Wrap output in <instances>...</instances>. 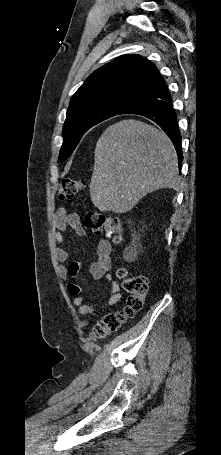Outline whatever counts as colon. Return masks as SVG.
<instances>
[{"label": "colon", "mask_w": 221, "mask_h": 455, "mask_svg": "<svg viewBox=\"0 0 221 455\" xmlns=\"http://www.w3.org/2000/svg\"><path fill=\"white\" fill-rule=\"evenodd\" d=\"M85 187V182L79 178H68L62 181L59 190L61 201L74 199ZM86 225L95 234H106L114 242L123 239V227L119 218L98 212H90L85 218ZM117 276L122 282L127 294L126 306L123 310L105 315L94 327L93 336L102 338L116 331L127 319L140 311L148 290V279L144 275H131L124 268H119Z\"/></svg>", "instance_id": "5ec220e1"}]
</instances>
